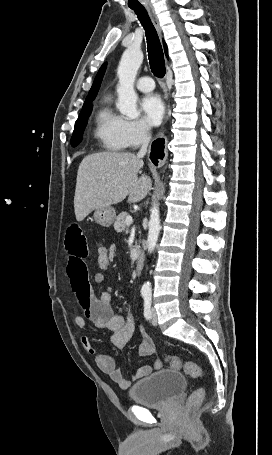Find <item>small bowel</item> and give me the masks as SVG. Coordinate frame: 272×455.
Instances as JSON below:
<instances>
[{"mask_svg":"<svg viewBox=\"0 0 272 455\" xmlns=\"http://www.w3.org/2000/svg\"><path fill=\"white\" fill-rule=\"evenodd\" d=\"M66 250L69 254L67 271L72 291L82 314L74 317L76 326L82 330L87 327V320L94 323L98 329H105L111 332V342L117 348H123L131 339L134 333V321L130 314H115L111 304L112 289L108 288L99 298H95L91 291L88 268L85 263L87 256V245L84 234L77 224H72L66 232ZM111 261L116 256L115 246L108 247ZM142 342L138 347V354L141 357H149L155 352V345L151 336L141 329ZM81 343L86 351L93 356L96 365L101 371L108 374L111 379L121 388H128L132 381L147 376L153 369L158 370L162 364L155 360L153 366H141L134 374L132 380L127 379L119 369L114 359L106 354L97 352L92 348L89 338L83 336Z\"/></svg>","mask_w":272,"mask_h":455,"instance_id":"small-bowel-1","label":"small bowel"}]
</instances>
